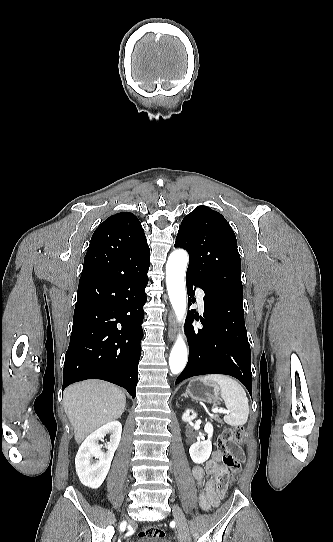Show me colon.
I'll return each mask as SVG.
<instances>
[{
    "mask_svg": "<svg viewBox=\"0 0 333 542\" xmlns=\"http://www.w3.org/2000/svg\"><path fill=\"white\" fill-rule=\"evenodd\" d=\"M245 431L242 427L226 426L222 435L218 439L217 446L223 455L225 465L230 469L231 476L221 480L219 490L225 493L229 482L235 479V476L241 469V451L240 445L243 442ZM142 541H155L164 538V531L156 525H149L139 533Z\"/></svg>",
    "mask_w": 333,
    "mask_h": 542,
    "instance_id": "5ec220e1",
    "label": "colon"
}]
</instances>
